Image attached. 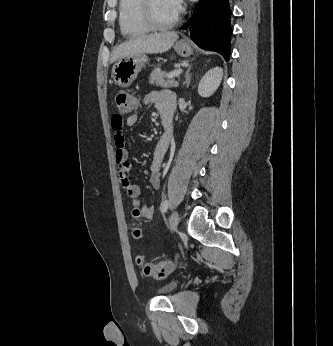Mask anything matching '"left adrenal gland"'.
Wrapping results in <instances>:
<instances>
[{
    "instance_id": "1",
    "label": "left adrenal gland",
    "mask_w": 333,
    "mask_h": 346,
    "mask_svg": "<svg viewBox=\"0 0 333 346\" xmlns=\"http://www.w3.org/2000/svg\"><path fill=\"white\" fill-rule=\"evenodd\" d=\"M190 69H191V67H189V68H188V70H187V72H186V75H185V77H186V83H187V87L189 86L190 81H191Z\"/></svg>"
}]
</instances>
